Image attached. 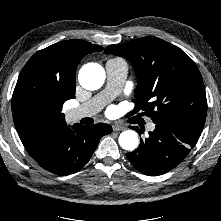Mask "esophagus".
<instances>
[{"label": "esophagus", "instance_id": "1", "mask_svg": "<svg viewBox=\"0 0 221 221\" xmlns=\"http://www.w3.org/2000/svg\"><path fill=\"white\" fill-rule=\"evenodd\" d=\"M112 128H113V131H122L125 129L124 126L118 125V124L113 125Z\"/></svg>", "mask_w": 221, "mask_h": 221}]
</instances>
